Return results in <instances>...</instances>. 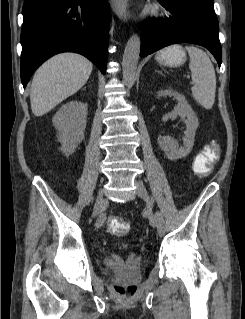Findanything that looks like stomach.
Wrapping results in <instances>:
<instances>
[{
  "label": "stomach",
  "mask_w": 245,
  "mask_h": 319,
  "mask_svg": "<svg viewBox=\"0 0 245 319\" xmlns=\"http://www.w3.org/2000/svg\"><path fill=\"white\" fill-rule=\"evenodd\" d=\"M156 60L162 65L177 67L185 62L186 53L180 45H172L158 52Z\"/></svg>",
  "instance_id": "1"
}]
</instances>
